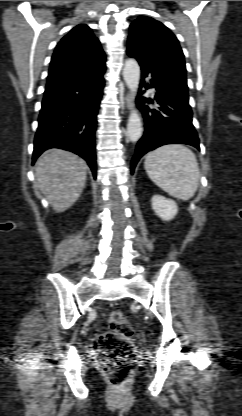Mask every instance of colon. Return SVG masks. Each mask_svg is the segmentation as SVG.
Listing matches in <instances>:
<instances>
[{
    "mask_svg": "<svg viewBox=\"0 0 242 416\" xmlns=\"http://www.w3.org/2000/svg\"><path fill=\"white\" fill-rule=\"evenodd\" d=\"M132 325L122 310H113L108 316V330L99 334L94 349L103 369L114 385L127 380L136 363V352L130 340Z\"/></svg>",
    "mask_w": 242,
    "mask_h": 416,
    "instance_id": "5ec220e1",
    "label": "colon"
}]
</instances>
